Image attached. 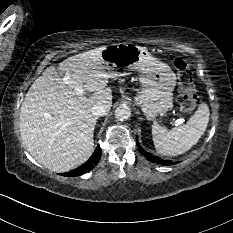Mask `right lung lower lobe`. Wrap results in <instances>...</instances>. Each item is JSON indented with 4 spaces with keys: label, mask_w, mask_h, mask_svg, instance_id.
<instances>
[{
    "label": "right lung lower lobe",
    "mask_w": 233,
    "mask_h": 233,
    "mask_svg": "<svg viewBox=\"0 0 233 233\" xmlns=\"http://www.w3.org/2000/svg\"><path fill=\"white\" fill-rule=\"evenodd\" d=\"M101 153L102 150L101 148L98 146L96 147L94 153L92 154V156L89 158V160L87 162H85L82 166L67 172V173H62L63 176H67V177H74V176H78V175H82L90 170H92L94 168L95 165H97V163L99 162L100 158H101Z\"/></svg>",
    "instance_id": "right-lung-lower-lobe-1"
}]
</instances>
